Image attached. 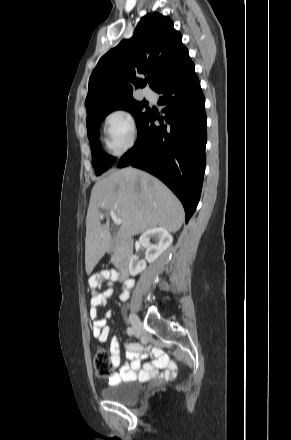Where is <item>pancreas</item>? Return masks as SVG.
Returning <instances> with one entry per match:
<instances>
[{"label": "pancreas", "mask_w": 291, "mask_h": 440, "mask_svg": "<svg viewBox=\"0 0 291 440\" xmlns=\"http://www.w3.org/2000/svg\"><path fill=\"white\" fill-rule=\"evenodd\" d=\"M111 251L114 253L112 258H111V262L114 265H117L118 261H119V258H118V247H115V246L111 247Z\"/></svg>", "instance_id": "1"}]
</instances>
